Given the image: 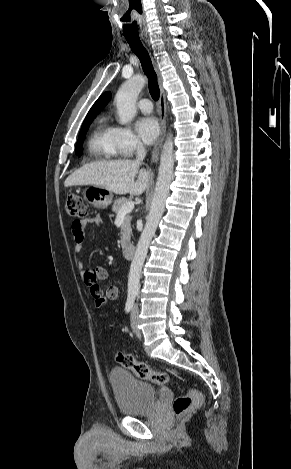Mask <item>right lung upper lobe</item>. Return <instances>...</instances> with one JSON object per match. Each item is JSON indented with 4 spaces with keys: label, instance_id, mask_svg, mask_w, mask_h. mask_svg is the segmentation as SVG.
<instances>
[{
    "label": "right lung upper lobe",
    "instance_id": "cb5924a9",
    "mask_svg": "<svg viewBox=\"0 0 291 469\" xmlns=\"http://www.w3.org/2000/svg\"><path fill=\"white\" fill-rule=\"evenodd\" d=\"M111 98L110 92H105L102 94L98 100L94 103L92 108L89 110L87 117H95L96 114L109 102Z\"/></svg>",
    "mask_w": 291,
    "mask_h": 469
}]
</instances>
